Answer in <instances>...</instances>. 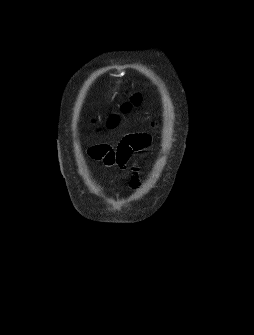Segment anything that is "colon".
Instances as JSON below:
<instances>
[{
    "instance_id": "5ec220e1",
    "label": "colon",
    "mask_w": 254,
    "mask_h": 335,
    "mask_svg": "<svg viewBox=\"0 0 254 335\" xmlns=\"http://www.w3.org/2000/svg\"><path fill=\"white\" fill-rule=\"evenodd\" d=\"M138 102H139V99H138V98H135V99L133 100L132 103H127V104H125V105L123 106V109H124V110H128V109L131 107L132 104H137ZM116 123H117V119H116L115 117H112V118H110L109 121H108V126H109V127H114V126L116 125Z\"/></svg>"
}]
</instances>
